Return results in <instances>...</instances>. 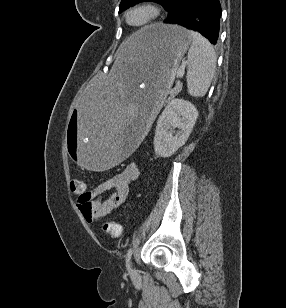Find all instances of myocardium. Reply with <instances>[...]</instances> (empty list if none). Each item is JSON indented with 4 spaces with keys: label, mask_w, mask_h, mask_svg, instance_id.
<instances>
[{
    "label": "myocardium",
    "mask_w": 286,
    "mask_h": 308,
    "mask_svg": "<svg viewBox=\"0 0 286 308\" xmlns=\"http://www.w3.org/2000/svg\"><path fill=\"white\" fill-rule=\"evenodd\" d=\"M138 9H146L147 11H149V17L145 22L141 24H132L129 21V16L133 11ZM159 15H160V8L156 3H154L153 1H143L132 6L126 12L125 19L127 24L134 28H144L155 22L158 19Z\"/></svg>",
    "instance_id": "1"
}]
</instances>
